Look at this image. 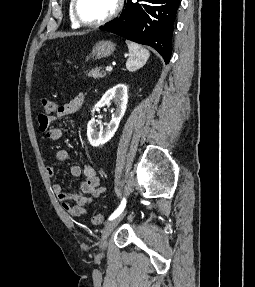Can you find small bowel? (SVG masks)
Segmentation results:
<instances>
[{
	"label": "small bowel",
	"instance_id": "obj_1",
	"mask_svg": "<svg viewBox=\"0 0 255 287\" xmlns=\"http://www.w3.org/2000/svg\"><path fill=\"white\" fill-rule=\"evenodd\" d=\"M84 94H78L68 102L59 106L54 115L41 114L38 118L39 128L52 141H58L63 137V131L59 127L53 126V122L77 112L84 104ZM58 162H64L69 158L67 149H59L55 154ZM73 176L78 177L83 174V180L80 183L78 192H69L63 188L60 183L53 185L54 194L61 205L63 212L70 217H80L87 212L88 205L94 198L98 197L103 191L100 185V178L96 170L91 165L80 166L74 165L71 167ZM46 173L49 177H54L57 173L53 165L46 167Z\"/></svg>",
	"mask_w": 255,
	"mask_h": 287
}]
</instances>
